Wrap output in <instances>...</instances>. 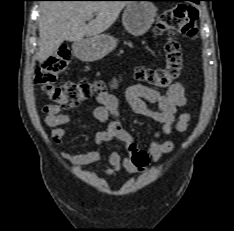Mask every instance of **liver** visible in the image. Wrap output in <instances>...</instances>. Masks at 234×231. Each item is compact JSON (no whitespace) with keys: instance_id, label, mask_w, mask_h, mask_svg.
I'll return each instance as SVG.
<instances>
[{"instance_id":"1","label":"liver","mask_w":234,"mask_h":231,"mask_svg":"<svg viewBox=\"0 0 234 231\" xmlns=\"http://www.w3.org/2000/svg\"><path fill=\"white\" fill-rule=\"evenodd\" d=\"M126 1H45L40 5V63L53 55L64 41H81L106 31L117 20ZM94 20L85 23L91 15Z\"/></svg>"}]
</instances>
